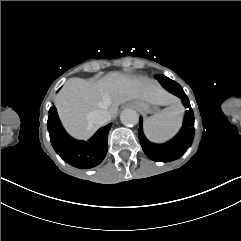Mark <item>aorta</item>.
<instances>
[{"mask_svg": "<svg viewBox=\"0 0 241 241\" xmlns=\"http://www.w3.org/2000/svg\"><path fill=\"white\" fill-rule=\"evenodd\" d=\"M120 120L125 126H134L139 122V115L132 109H124L120 114Z\"/></svg>", "mask_w": 241, "mask_h": 241, "instance_id": "obj_1", "label": "aorta"}]
</instances>
